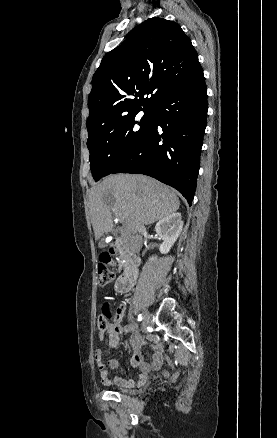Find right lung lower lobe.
Instances as JSON below:
<instances>
[{
  "label": "right lung lower lobe",
  "instance_id": "obj_1",
  "mask_svg": "<svg viewBox=\"0 0 277 438\" xmlns=\"http://www.w3.org/2000/svg\"><path fill=\"white\" fill-rule=\"evenodd\" d=\"M170 72L178 67L169 64ZM203 71L161 94L140 143L113 173H141L177 189L191 205L207 118Z\"/></svg>",
  "mask_w": 277,
  "mask_h": 438
}]
</instances>
